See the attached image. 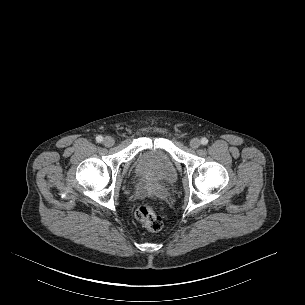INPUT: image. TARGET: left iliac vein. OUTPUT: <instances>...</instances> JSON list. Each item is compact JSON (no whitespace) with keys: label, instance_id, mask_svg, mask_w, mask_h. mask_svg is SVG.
I'll return each mask as SVG.
<instances>
[{"label":"left iliac vein","instance_id":"1","mask_svg":"<svg viewBox=\"0 0 305 305\" xmlns=\"http://www.w3.org/2000/svg\"><path fill=\"white\" fill-rule=\"evenodd\" d=\"M201 142L198 138H193L190 141V147L193 149H197L200 146Z\"/></svg>","mask_w":305,"mask_h":305}]
</instances>
